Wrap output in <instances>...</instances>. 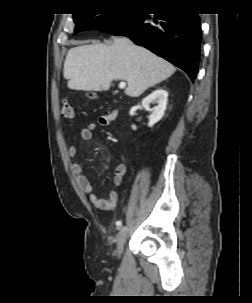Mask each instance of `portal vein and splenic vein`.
Instances as JSON below:
<instances>
[{"label": "portal vein and splenic vein", "instance_id": "portal-vein-and-splenic-vein-1", "mask_svg": "<svg viewBox=\"0 0 252 303\" xmlns=\"http://www.w3.org/2000/svg\"><path fill=\"white\" fill-rule=\"evenodd\" d=\"M120 89H124L126 87V83L125 82H120L119 83V86H118Z\"/></svg>", "mask_w": 252, "mask_h": 303}]
</instances>
